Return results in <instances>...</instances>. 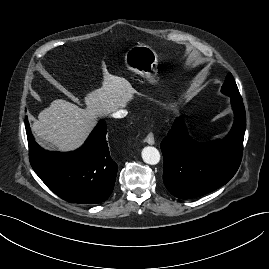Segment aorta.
<instances>
[{
  "label": "aorta",
  "instance_id": "obj_1",
  "mask_svg": "<svg viewBox=\"0 0 269 269\" xmlns=\"http://www.w3.org/2000/svg\"><path fill=\"white\" fill-rule=\"evenodd\" d=\"M141 154L143 161L147 164L156 165L160 161V153L155 147H144Z\"/></svg>",
  "mask_w": 269,
  "mask_h": 269
}]
</instances>
